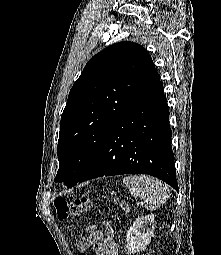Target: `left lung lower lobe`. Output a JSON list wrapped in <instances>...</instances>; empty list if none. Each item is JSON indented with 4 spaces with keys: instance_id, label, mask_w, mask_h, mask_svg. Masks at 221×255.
<instances>
[{
    "instance_id": "left-lung-lower-lobe-1",
    "label": "left lung lower lobe",
    "mask_w": 221,
    "mask_h": 255,
    "mask_svg": "<svg viewBox=\"0 0 221 255\" xmlns=\"http://www.w3.org/2000/svg\"><path fill=\"white\" fill-rule=\"evenodd\" d=\"M171 136L169 110L159 79L113 124L78 182L142 173L155 176L178 191Z\"/></svg>"
}]
</instances>
